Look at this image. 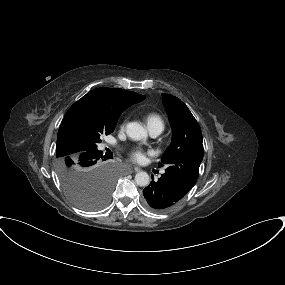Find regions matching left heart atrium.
Returning a JSON list of instances; mask_svg holds the SVG:
<instances>
[{
	"label": "left heart atrium",
	"mask_w": 285,
	"mask_h": 285,
	"mask_svg": "<svg viewBox=\"0 0 285 285\" xmlns=\"http://www.w3.org/2000/svg\"><path fill=\"white\" fill-rule=\"evenodd\" d=\"M146 152L141 149V148H134L131 153L130 156L131 158L135 161V162H142L145 158Z\"/></svg>",
	"instance_id": "left-heart-atrium-1"
}]
</instances>
